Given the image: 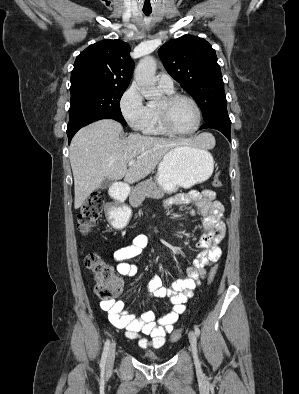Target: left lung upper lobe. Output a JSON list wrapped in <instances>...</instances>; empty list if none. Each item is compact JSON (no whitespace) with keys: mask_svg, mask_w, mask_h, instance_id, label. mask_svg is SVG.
<instances>
[{"mask_svg":"<svg viewBox=\"0 0 299 394\" xmlns=\"http://www.w3.org/2000/svg\"><path fill=\"white\" fill-rule=\"evenodd\" d=\"M158 54L167 72L196 100L205 121L228 115L217 56L205 39L184 35L165 43Z\"/></svg>","mask_w":299,"mask_h":394,"instance_id":"obj_1","label":"left lung upper lobe"}]
</instances>
